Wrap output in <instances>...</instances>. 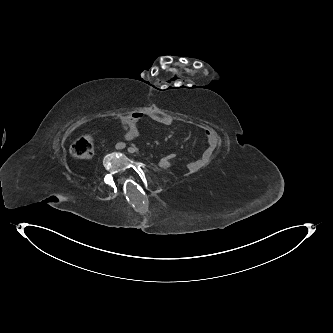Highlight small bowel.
Here are the masks:
<instances>
[{
    "mask_svg": "<svg viewBox=\"0 0 333 333\" xmlns=\"http://www.w3.org/2000/svg\"><path fill=\"white\" fill-rule=\"evenodd\" d=\"M144 118H148L161 125H170L173 122V118L167 114H160L154 111L149 112H136L128 116L120 117L118 122L121 126L122 135L125 140H131L140 135V124ZM205 136L208 141V147L202 153V155L194 160H190L186 163V166L191 171H197L206 166L212 157L213 146L210 142L212 139V132L209 130L205 131ZM168 155V154H167ZM166 156V155H165ZM176 157V155H175ZM175 157L171 160L165 161L163 164L159 162L160 167L164 169L172 168L175 164Z\"/></svg>",
    "mask_w": 333,
    "mask_h": 333,
    "instance_id": "obj_1",
    "label": "small bowel"
}]
</instances>
